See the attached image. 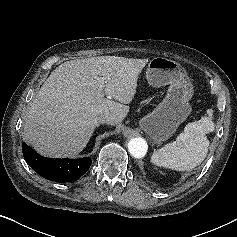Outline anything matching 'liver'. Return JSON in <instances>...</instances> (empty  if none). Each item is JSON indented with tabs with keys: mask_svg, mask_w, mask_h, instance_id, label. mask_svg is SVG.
Returning a JSON list of instances; mask_svg holds the SVG:
<instances>
[{
	"mask_svg": "<svg viewBox=\"0 0 237 237\" xmlns=\"http://www.w3.org/2000/svg\"><path fill=\"white\" fill-rule=\"evenodd\" d=\"M148 62L99 56L62 63L34 98L26 114L24 139L45 156L79 154L97 126V116L112 118L111 125L120 124L126 117L127 104L132 101L138 77ZM99 76L106 80L103 90L98 85Z\"/></svg>",
	"mask_w": 237,
	"mask_h": 237,
	"instance_id": "6515ba94",
	"label": "liver"
}]
</instances>
